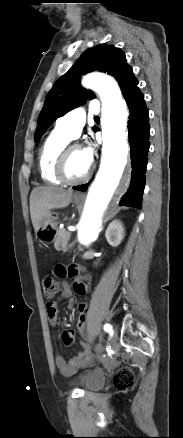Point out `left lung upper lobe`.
Masks as SVG:
<instances>
[{"instance_id": "left-lung-upper-lobe-1", "label": "left lung upper lobe", "mask_w": 183, "mask_h": 438, "mask_svg": "<svg viewBox=\"0 0 183 438\" xmlns=\"http://www.w3.org/2000/svg\"><path fill=\"white\" fill-rule=\"evenodd\" d=\"M94 70L107 72L114 76L122 91L135 78L132 68L126 62L124 52L119 48L114 45L100 44L87 49L47 94L38 118V126L34 135L35 142L40 140L57 118L82 105L85 100L94 97L92 92L84 90L79 84L82 74ZM94 130H96L95 127Z\"/></svg>"}]
</instances>
